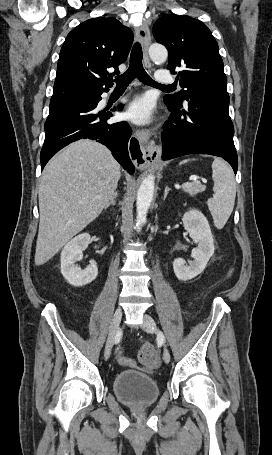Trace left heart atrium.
<instances>
[{"label":"left heart atrium","mask_w":272,"mask_h":455,"mask_svg":"<svg viewBox=\"0 0 272 455\" xmlns=\"http://www.w3.org/2000/svg\"><path fill=\"white\" fill-rule=\"evenodd\" d=\"M153 111L152 101L146 96H141L130 103L127 109V116L133 122L143 124L150 121Z\"/></svg>","instance_id":"1"}]
</instances>
